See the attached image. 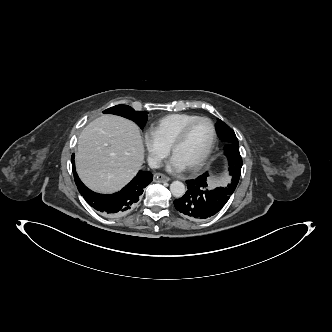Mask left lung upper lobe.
<instances>
[{"mask_svg":"<svg viewBox=\"0 0 332 332\" xmlns=\"http://www.w3.org/2000/svg\"><path fill=\"white\" fill-rule=\"evenodd\" d=\"M216 130L219 138L227 143L224 150L228 157L229 171L232 177V182L229 185L220 188H222V190L227 194L231 195L238 184L242 167L241 162L234 154V151L232 150L233 147L231 145L238 146L239 143L234 131L220 119L217 120ZM207 176L208 174L205 175V180L207 179Z\"/></svg>","mask_w":332,"mask_h":332,"instance_id":"left-lung-upper-lobe-1","label":"left lung upper lobe"}]
</instances>
